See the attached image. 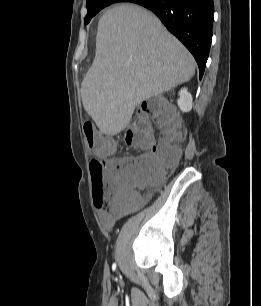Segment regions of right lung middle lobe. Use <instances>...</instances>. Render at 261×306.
Segmentation results:
<instances>
[{"mask_svg":"<svg viewBox=\"0 0 261 306\" xmlns=\"http://www.w3.org/2000/svg\"><path fill=\"white\" fill-rule=\"evenodd\" d=\"M115 0H88L87 1V10L88 13L85 17V23H89L93 16H95L101 9L104 7L117 3Z\"/></svg>","mask_w":261,"mask_h":306,"instance_id":"right-lung-middle-lobe-1","label":"right lung middle lobe"}]
</instances>
